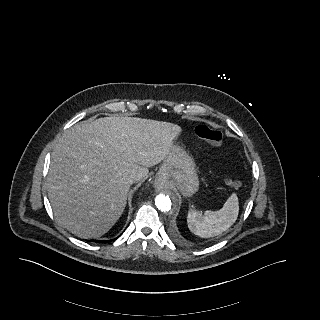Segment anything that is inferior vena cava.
Here are the masks:
<instances>
[{
	"mask_svg": "<svg viewBox=\"0 0 320 320\" xmlns=\"http://www.w3.org/2000/svg\"><path fill=\"white\" fill-rule=\"evenodd\" d=\"M128 182H129L130 184L134 183V182H135L134 177L130 176V177L128 178Z\"/></svg>",
	"mask_w": 320,
	"mask_h": 320,
	"instance_id": "obj_1",
	"label": "inferior vena cava"
}]
</instances>
